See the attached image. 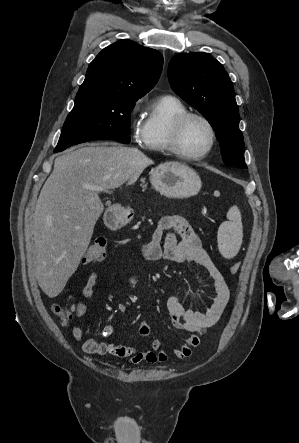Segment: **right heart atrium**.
Here are the masks:
<instances>
[{
  "mask_svg": "<svg viewBox=\"0 0 299 443\" xmlns=\"http://www.w3.org/2000/svg\"><path fill=\"white\" fill-rule=\"evenodd\" d=\"M141 103L142 99L137 100L131 107L128 115L129 126L131 128L134 137L137 139L140 138L143 127L137 119Z\"/></svg>",
  "mask_w": 299,
  "mask_h": 443,
  "instance_id": "d8ad5b80",
  "label": "right heart atrium"
}]
</instances>
